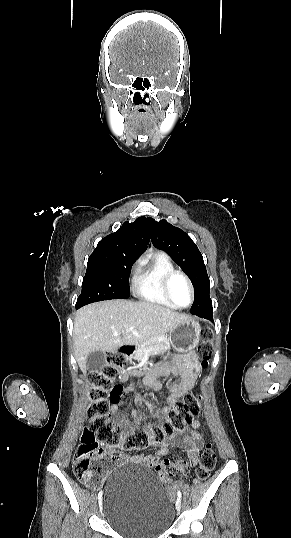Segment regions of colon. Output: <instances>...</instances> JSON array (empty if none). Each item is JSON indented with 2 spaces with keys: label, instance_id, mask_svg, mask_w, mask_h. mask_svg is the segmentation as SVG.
Masks as SVG:
<instances>
[{
  "label": "colon",
  "instance_id": "colon-1",
  "mask_svg": "<svg viewBox=\"0 0 291 538\" xmlns=\"http://www.w3.org/2000/svg\"><path fill=\"white\" fill-rule=\"evenodd\" d=\"M203 337L208 339L209 332L204 331ZM212 353V345L208 340L198 346L197 354L201 367L208 365ZM126 364L127 358L124 354L111 353L101 369L90 377L89 423L82 432L81 443L73 458L74 473L82 483L99 484L109 474L114 464L111 458L103 457L100 444H104L109 449L120 447L126 452L143 451L151 443L160 444L166 437L185 430L193 417L200 413L201 396L187 392L161 422L149 428H134L131 434L125 436L122 429L110 418L109 410L111 402L121 403L126 400L127 394H122L123 386L116 383ZM145 464L155 468L164 484L170 483L175 470L168 460L152 458ZM215 464L216 454L208 443L200 454L195 481L207 479Z\"/></svg>",
  "mask_w": 291,
  "mask_h": 538
}]
</instances>
